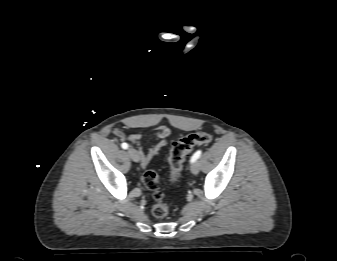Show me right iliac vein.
I'll return each instance as SVG.
<instances>
[{
    "label": "right iliac vein",
    "instance_id": "obj_1",
    "mask_svg": "<svg viewBox=\"0 0 337 261\" xmlns=\"http://www.w3.org/2000/svg\"><path fill=\"white\" fill-rule=\"evenodd\" d=\"M127 152H128L129 157L134 162H139L140 161V156H139L138 152L135 149L129 148Z\"/></svg>",
    "mask_w": 337,
    "mask_h": 261
}]
</instances>
